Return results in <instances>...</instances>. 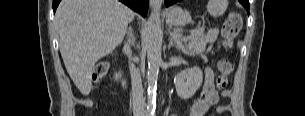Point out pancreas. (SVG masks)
Masks as SVG:
<instances>
[{"label":"pancreas","instance_id":"pancreas-1","mask_svg":"<svg viewBox=\"0 0 305 116\" xmlns=\"http://www.w3.org/2000/svg\"><path fill=\"white\" fill-rule=\"evenodd\" d=\"M178 40L184 41L183 37H180ZM208 42H210V39L203 32H201L193 36L190 40H188V43H186L184 46L180 45V48L186 55L202 56L203 53L205 52L206 45Z\"/></svg>","mask_w":305,"mask_h":116}]
</instances>
